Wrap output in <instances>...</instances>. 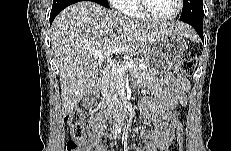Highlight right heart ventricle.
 Wrapping results in <instances>:
<instances>
[{"label":"right heart ventricle","instance_id":"obj_1","mask_svg":"<svg viewBox=\"0 0 231 151\" xmlns=\"http://www.w3.org/2000/svg\"><path fill=\"white\" fill-rule=\"evenodd\" d=\"M122 12H124L129 17L134 18V19L141 18L134 1H130V0L125 1L124 8H123Z\"/></svg>","mask_w":231,"mask_h":151}]
</instances>
